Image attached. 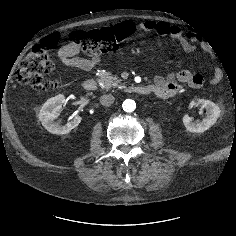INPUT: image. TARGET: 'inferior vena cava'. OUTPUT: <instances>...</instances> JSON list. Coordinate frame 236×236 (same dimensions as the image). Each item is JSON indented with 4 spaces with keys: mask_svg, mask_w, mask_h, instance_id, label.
<instances>
[{
    "mask_svg": "<svg viewBox=\"0 0 236 236\" xmlns=\"http://www.w3.org/2000/svg\"><path fill=\"white\" fill-rule=\"evenodd\" d=\"M114 100H115V98L111 94H106V95H103V96L100 97V103L103 106H110V105H112Z\"/></svg>",
    "mask_w": 236,
    "mask_h": 236,
    "instance_id": "1",
    "label": "inferior vena cava"
}]
</instances>
